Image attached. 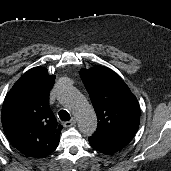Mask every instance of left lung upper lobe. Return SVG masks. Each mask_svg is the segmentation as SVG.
Wrapping results in <instances>:
<instances>
[{
    "label": "left lung upper lobe",
    "mask_w": 171,
    "mask_h": 171,
    "mask_svg": "<svg viewBox=\"0 0 171 171\" xmlns=\"http://www.w3.org/2000/svg\"><path fill=\"white\" fill-rule=\"evenodd\" d=\"M80 77L98 118L97 130L90 138L118 150L124 148L135 136L140 123L136 97L109 68L81 69Z\"/></svg>",
    "instance_id": "5c2ea615"
}]
</instances>
